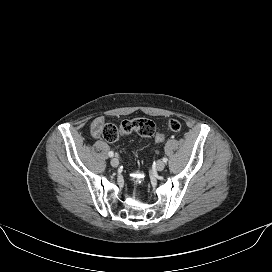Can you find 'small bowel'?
I'll list each match as a JSON object with an SVG mask.
<instances>
[{
  "mask_svg": "<svg viewBox=\"0 0 272 272\" xmlns=\"http://www.w3.org/2000/svg\"><path fill=\"white\" fill-rule=\"evenodd\" d=\"M104 125V119L102 117H97L95 118L91 125H90V130H91V134L93 137L95 138H99L101 133H102V128ZM159 142V141H157Z\"/></svg>",
  "mask_w": 272,
  "mask_h": 272,
  "instance_id": "1",
  "label": "small bowel"
}]
</instances>
